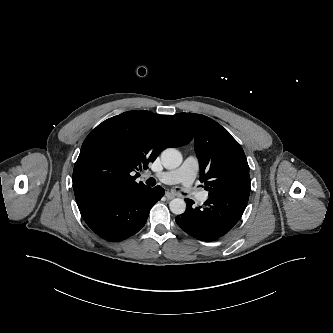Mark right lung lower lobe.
I'll return each mask as SVG.
<instances>
[{
	"label": "right lung lower lobe",
	"instance_id": "right-lung-lower-lobe-1",
	"mask_svg": "<svg viewBox=\"0 0 333 333\" xmlns=\"http://www.w3.org/2000/svg\"><path fill=\"white\" fill-rule=\"evenodd\" d=\"M163 195L164 189L157 186L129 195L92 194L76 201L87 225L101 238L114 242L137 233Z\"/></svg>",
	"mask_w": 333,
	"mask_h": 333
}]
</instances>
